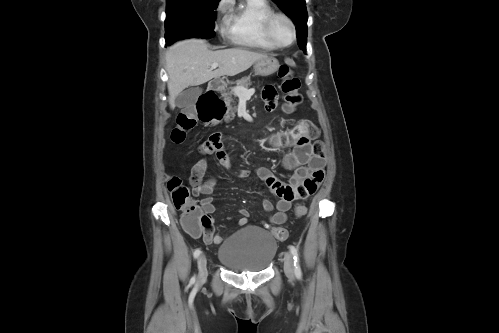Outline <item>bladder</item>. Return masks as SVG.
<instances>
[{
  "mask_svg": "<svg viewBox=\"0 0 499 333\" xmlns=\"http://www.w3.org/2000/svg\"><path fill=\"white\" fill-rule=\"evenodd\" d=\"M276 239L258 226L244 227L227 237L219 247L218 260L233 272H262L277 251Z\"/></svg>",
  "mask_w": 499,
  "mask_h": 333,
  "instance_id": "bladder-1",
  "label": "bladder"
}]
</instances>
